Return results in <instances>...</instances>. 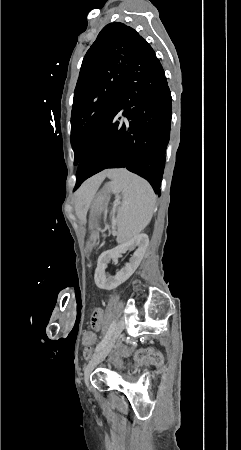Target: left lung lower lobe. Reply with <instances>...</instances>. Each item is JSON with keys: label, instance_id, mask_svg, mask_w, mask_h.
I'll return each mask as SVG.
<instances>
[{"label": "left lung lower lobe", "instance_id": "1", "mask_svg": "<svg viewBox=\"0 0 241 450\" xmlns=\"http://www.w3.org/2000/svg\"><path fill=\"white\" fill-rule=\"evenodd\" d=\"M171 109L170 90L154 50L150 45L136 50L124 76L121 97L78 163L75 189L104 169L126 168L160 193Z\"/></svg>", "mask_w": 241, "mask_h": 450}]
</instances>
